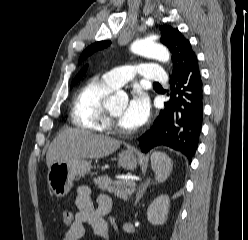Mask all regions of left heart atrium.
<instances>
[{"label":"left heart atrium","mask_w":248,"mask_h":240,"mask_svg":"<svg viewBox=\"0 0 248 240\" xmlns=\"http://www.w3.org/2000/svg\"><path fill=\"white\" fill-rule=\"evenodd\" d=\"M149 109L147 95L143 91L136 89L127 104L122 120L129 128H137L147 120Z\"/></svg>","instance_id":"obj_1"}]
</instances>
